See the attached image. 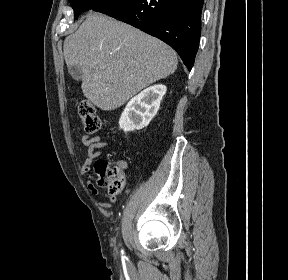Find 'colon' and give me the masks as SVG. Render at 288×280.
Listing matches in <instances>:
<instances>
[{
    "label": "colon",
    "mask_w": 288,
    "mask_h": 280,
    "mask_svg": "<svg viewBox=\"0 0 288 280\" xmlns=\"http://www.w3.org/2000/svg\"><path fill=\"white\" fill-rule=\"evenodd\" d=\"M78 113L87 133L93 134L100 130L101 121L90 100L80 102ZM94 167L99 186L106 187L111 195H116L122 191L124 169L121 162L98 160Z\"/></svg>",
    "instance_id": "obj_1"
}]
</instances>
